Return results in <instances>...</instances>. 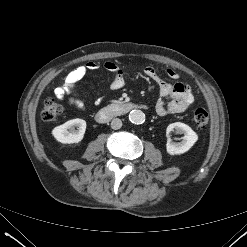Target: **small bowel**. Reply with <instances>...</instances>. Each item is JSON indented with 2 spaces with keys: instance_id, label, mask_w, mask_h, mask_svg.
<instances>
[{
  "instance_id": "obj_1",
  "label": "small bowel",
  "mask_w": 247,
  "mask_h": 247,
  "mask_svg": "<svg viewBox=\"0 0 247 247\" xmlns=\"http://www.w3.org/2000/svg\"><path fill=\"white\" fill-rule=\"evenodd\" d=\"M99 67V63L95 61H89L84 65L76 67L68 73L64 82L55 88V96L59 99H65L67 97L68 102L72 106L78 109H84L85 105L77 91V84L89 71L97 70ZM104 68L113 74L110 89L113 91L122 89L125 85L122 69L113 62H106ZM144 74L158 86L159 98L156 102V112L159 115L182 113L193 103L194 96L188 84L165 81L153 66H146L144 68ZM167 75L173 80L178 78L177 72L173 69H168Z\"/></svg>"
}]
</instances>
